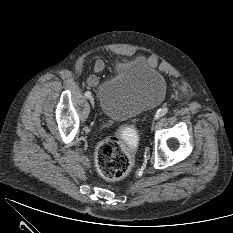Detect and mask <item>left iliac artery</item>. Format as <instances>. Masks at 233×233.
Instances as JSON below:
<instances>
[{
	"mask_svg": "<svg viewBox=\"0 0 233 233\" xmlns=\"http://www.w3.org/2000/svg\"><path fill=\"white\" fill-rule=\"evenodd\" d=\"M168 112V108H161L157 111L156 115H155V119H158L159 117H162L164 115H166Z\"/></svg>",
	"mask_w": 233,
	"mask_h": 233,
	"instance_id": "left-iliac-artery-1",
	"label": "left iliac artery"
}]
</instances>
